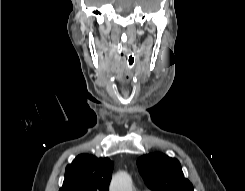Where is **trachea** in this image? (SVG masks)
Masks as SVG:
<instances>
[{"label": "trachea", "instance_id": "trachea-1", "mask_svg": "<svg viewBox=\"0 0 245 191\" xmlns=\"http://www.w3.org/2000/svg\"><path fill=\"white\" fill-rule=\"evenodd\" d=\"M136 63V57L133 53H130L127 57V66L132 68Z\"/></svg>", "mask_w": 245, "mask_h": 191}]
</instances>
